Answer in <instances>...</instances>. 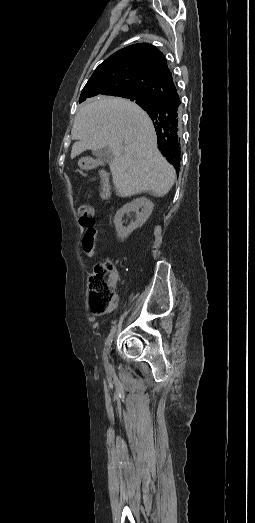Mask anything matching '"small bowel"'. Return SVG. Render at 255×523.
Masks as SVG:
<instances>
[{
	"mask_svg": "<svg viewBox=\"0 0 255 523\" xmlns=\"http://www.w3.org/2000/svg\"><path fill=\"white\" fill-rule=\"evenodd\" d=\"M86 226L87 229L84 233L82 240V249L88 257L93 258L95 255V246L98 236V230L95 227L94 222Z\"/></svg>",
	"mask_w": 255,
	"mask_h": 523,
	"instance_id": "obj_1",
	"label": "small bowel"
}]
</instances>
